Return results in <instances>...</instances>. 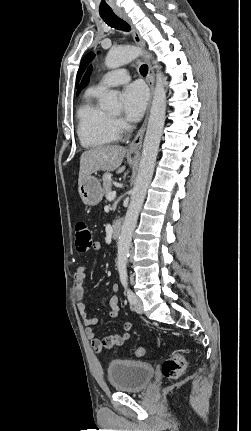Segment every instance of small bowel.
<instances>
[{
	"label": "small bowel",
	"mask_w": 251,
	"mask_h": 431,
	"mask_svg": "<svg viewBox=\"0 0 251 431\" xmlns=\"http://www.w3.org/2000/svg\"><path fill=\"white\" fill-rule=\"evenodd\" d=\"M96 251H101L102 247L100 243H96L94 246ZM87 278V267L80 266L76 271V297H77V309L80 312L83 324L85 326V332L88 339L91 342V346L94 351L102 352L104 350H109L114 347L123 345L127 340L130 339V331L132 324L128 321L122 324V333L114 334L100 339L96 336L95 326L98 323L97 318L90 316L86 311V300H85V288L84 284ZM119 289L117 284L112 286V290L117 292ZM109 316L115 318L120 314L119 298L117 295H113L109 300Z\"/></svg>",
	"instance_id": "1"
}]
</instances>
